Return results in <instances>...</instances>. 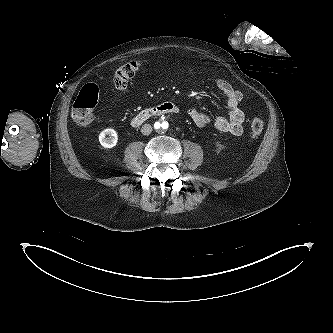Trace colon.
I'll return each mask as SVG.
<instances>
[{
    "label": "colon",
    "instance_id": "colon-1",
    "mask_svg": "<svg viewBox=\"0 0 333 333\" xmlns=\"http://www.w3.org/2000/svg\"><path fill=\"white\" fill-rule=\"evenodd\" d=\"M145 64L142 60H132L120 66L114 73L113 82L116 88L124 89L135 73ZM99 99V88L95 84H86L79 92L72 107L73 120L82 126L91 124L95 119V108ZM264 129L261 118L255 117L250 124V135L258 138Z\"/></svg>",
    "mask_w": 333,
    "mask_h": 333
}]
</instances>
